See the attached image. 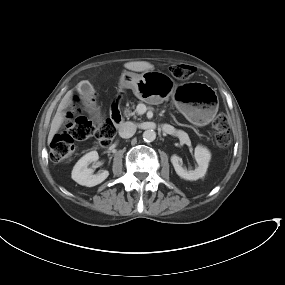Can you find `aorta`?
I'll return each mask as SVG.
<instances>
[{
    "instance_id": "762f6f07",
    "label": "aorta",
    "mask_w": 285,
    "mask_h": 285,
    "mask_svg": "<svg viewBox=\"0 0 285 285\" xmlns=\"http://www.w3.org/2000/svg\"><path fill=\"white\" fill-rule=\"evenodd\" d=\"M143 139L146 142H152L156 139V132L152 129L145 130L143 132Z\"/></svg>"
}]
</instances>
